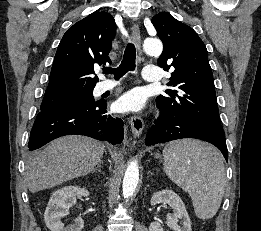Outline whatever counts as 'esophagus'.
Here are the masks:
<instances>
[{"label": "esophagus", "mask_w": 261, "mask_h": 231, "mask_svg": "<svg viewBox=\"0 0 261 231\" xmlns=\"http://www.w3.org/2000/svg\"><path fill=\"white\" fill-rule=\"evenodd\" d=\"M131 36L133 43L141 54L140 29L137 23H134L131 27ZM130 124L134 137H139L144 129L143 119L138 115H134L131 117Z\"/></svg>", "instance_id": "1"}]
</instances>
